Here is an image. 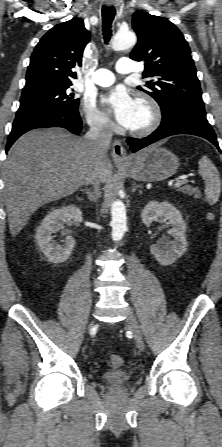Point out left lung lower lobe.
I'll use <instances>...</instances> for the list:
<instances>
[{"label": "left lung lower lobe", "instance_id": "1", "mask_svg": "<svg viewBox=\"0 0 222 447\" xmlns=\"http://www.w3.org/2000/svg\"><path fill=\"white\" fill-rule=\"evenodd\" d=\"M176 134H191L203 137L220 150L215 132L208 123L205 113L189 108L174 107L162 115L161 125L151 135L142 139L128 138L132 152H136L158 140Z\"/></svg>", "mask_w": 222, "mask_h": 447}]
</instances>
